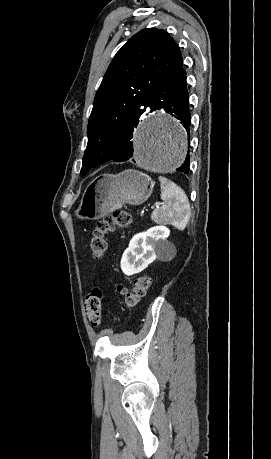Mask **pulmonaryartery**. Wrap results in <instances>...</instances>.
<instances>
[{"label": "pulmonary artery", "mask_w": 271, "mask_h": 459, "mask_svg": "<svg viewBox=\"0 0 271 459\" xmlns=\"http://www.w3.org/2000/svg\"><path fill=\"white\" fill-rule=\"evenodd\" d=\"M147 107H148V108H151V107H152V104H151V103H148V104H147Z\"/></svg>", "instance_id": "obj_1"}]
</instances>
